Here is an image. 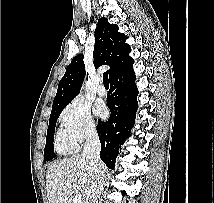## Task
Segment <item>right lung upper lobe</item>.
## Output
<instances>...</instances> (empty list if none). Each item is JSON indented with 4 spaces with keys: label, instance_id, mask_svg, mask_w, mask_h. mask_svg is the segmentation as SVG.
<instances>
[{
    "label": "right lung upper lobe",
    "instance_id": "1",
    "mask_svg": "<svg viewBox=\"0 0 214 203\" xmlns=\"http://www.w3.org/2000/svg\"><path fill=\"white\" fill-rule=\"evenodd\" d=\"M127 36L118 32L116 24H110L106 18L98 21L95 29L94 65H109V77L119 75L131 68L134 60L129 56L130 46L125 44ZM85 77L83 54L77 55L67 67L65 75L58 84L51 114L65 108L79 94Z\"/></svg>",
    "mask_w": 214,
    "mask_h": 203
}]
</instances>
